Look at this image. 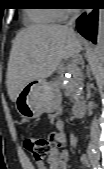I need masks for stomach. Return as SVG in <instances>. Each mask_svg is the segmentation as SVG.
Returning a JSON list of instances; mask_svg holds the SVG:
<instances>
[{"instance_id": "1", "label": "stomach", "mask_w": 104, "mask_h": 169, "mask_svg": "<svg viewBox=\"0 0 104 169\" xmlns=\"http://www.w3.org/2000/svg\"><path fill=\"white\" fill-rule=\"evenodd\" d=\"M60 102L56 85L43 79L29 82L18 94L14 104L23 118L33 119L43 113L56 111Z\"/></svg>"}]
</instances>
